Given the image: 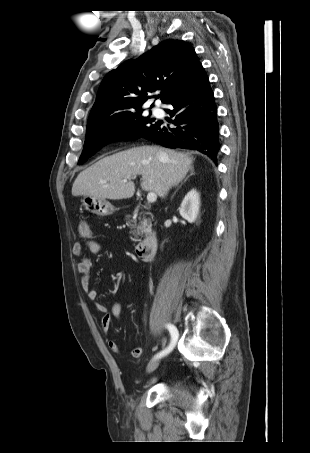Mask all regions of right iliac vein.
Masks as SVG:
<instances>
[{
    "mask_svg": "<svg viewBox=\"0 0 310 453\" xmlns=\"http://www.w3.org/2000/svg\"><path fill=\"white\" fill-rule=\"evenodd\" d=\"M159 362H160L159 359H153V360H151V361L148 363L147 367H146V372H147V373H151V372H153L154 370H156V369L158 368V366H159Z\"/></svg>",
    "mask_w": 310,
    "mask_h": 453,
    "instance_id": "63e3f726",
    "label": "right iliac vein"
}]
</instances>
